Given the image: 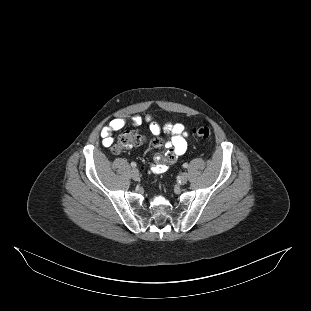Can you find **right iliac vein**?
Here are the masks:
<instances>
[{
	"instance_id": "obj_1",
	"label": "right iliac vein",
	"mask_w": 311,
	"mask_h": 311,
	"mask_svg": "<svg viewBox=\"0 0 311 311\" xmlns=\"http://www.w3.org/2000/svg\"><path fill=\"white\" fill-rule=\"evenodd\" d=\"M131 177L133 180L138 181L140 179L139 171L137 169H133L131 171Z\"/></svg>"
}]
</instances>
